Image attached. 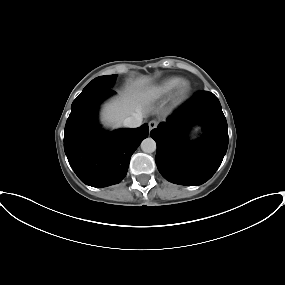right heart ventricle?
Returning <instances> with one entry per match:
<instances>
[{"mask_svg": "<svg viewBox=\"0 0 285 285\" xmlns=\"http://www.w3.org/2000/svg\"><path fill=\"white\" fill-rule=\"evenodd\" d=\"M182 81V78L174 76L164 79L159 84L153 86L148 90V97L153 100L161 99L169 96Z\"/></svg>", "mask_w": 285, "mask_h": 285, "instance_id": "1", "label": "right heart ventricle"}]
</instances>
